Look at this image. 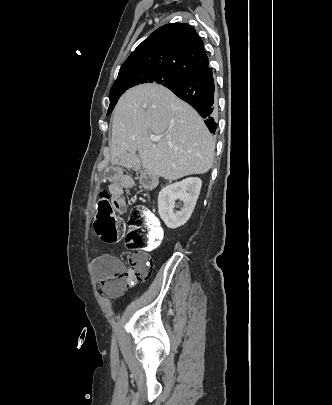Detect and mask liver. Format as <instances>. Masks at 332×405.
Instances as JSON below:
<instances>
[{
    "label": "liver",
    "instance_id": "obj_1",
    "mask_svg": "<svg viewBox=\"0 0 332 405\" xmlns=\"http://www.w3.org/2000/svg\"><path fill=\"white\" fill-rule=\"evenodd\" d=\"M150 135L159 137L157 142ZM112 163L138 162L152 175L177 180L204 174L214 162L215 142L203 119L169 89L154 83L127 90L114 109Z\"/></svg>",
    "mask_w": 332,
    "mask_h": 405
}]
</instances>
